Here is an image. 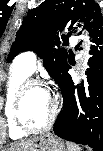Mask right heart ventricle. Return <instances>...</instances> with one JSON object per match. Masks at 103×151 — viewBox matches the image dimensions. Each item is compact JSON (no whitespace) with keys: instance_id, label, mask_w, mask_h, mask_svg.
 I'll use <instances>...</instances> for the list:
<instances>
[{"instance_id":"1","label":"right heart ventricle","mask_w":103,"mask_h":151,"mask_svg":"<svg viewBox=\"0 0 103 151\" xmlns=\"http://www.w3.org/2000/svg\"><path fill=\"white\" fill-rule=\"evenodd\" d=\"M29 75L30 74H28L25 70L14 63L6 87L4 114L7 122L8 134L10 138L14 140L21 139L27 135V133L21 131L13 121L12 104L16 92L18 91L22 83L28 79Z\"/></svg>"}]
</instances>
